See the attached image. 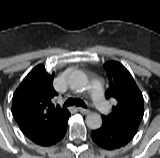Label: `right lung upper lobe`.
I'll list each match as a JSON object with an SVG mask.
<instances>
[{"instance_id":"1","label":"right lung upper lobe","mask_w":160,"mask_h":158,"mask_svg":"<svg viewBox=\"0 0 160 158\" xmlns=\"http://www.w3.org/2000/svg\"><path fill=\"white\" fill-rule=\"evenodd\" d=\"M42 64L34 67L13 95L12 114L21 131L30 140L55 130L69 118L67 109L54 104L57 92Z\"/></svg>"}]
</instances>
